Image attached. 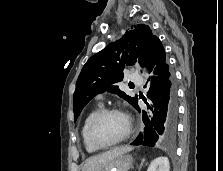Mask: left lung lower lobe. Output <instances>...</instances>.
Wrapping results in <instances>:
<instances>
[{"mask_svg":"<svg viewBox=\"0 0 223 171\" xmlns=\"http://www.w3.org/2000/svg\"><path fill=\"white\" fill-rule=\"evenodd\" d=\"M146 67L152 73L149 79L151 86L148 97L153 103L154 109L149 107L152 110L153 117L149 119L147 113L143 111L144 131L131 144L168 146L176 138L178 100L175 75L166 62V53L160 41L154 45ZM135 108L141 112L138 104Z\"/></svg>","mask_w":223,"mask_h":171,"instance_id":"1","label":"left lung lower lobe"}]
</instances>
